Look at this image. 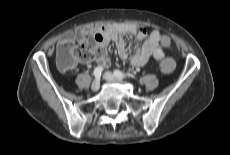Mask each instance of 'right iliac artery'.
I'll return each mask as SVG.
<instances>
[{
  "label": "right iliac artery",
  "mask_w": 230,
  "mask_h": 155,
  "mask_svg": "<svg viewBox=\"0 0 230 155\" xmlns=\"http://www.w3.org/2000/svg\"><path fill=\"white\" fill-rule=\"evenodd\" d=\"M103 68L102 67H96L93 71V75L95 78H100L101 74H102Z\"/></svg>",
  "instance_id": "1"
}]
</instances>
